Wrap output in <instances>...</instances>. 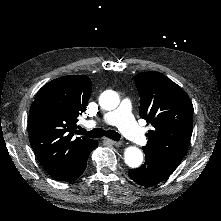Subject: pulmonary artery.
I'll use <instances>...</instances> for the list:
<instances>
[{"label": "pulmonary artery", "instance_id": "1", "mask_svg": "<svg viewBox=\"0 0 221 221\" xmlns=\"http://www.w3.org/2000/svg\"><path fill=\"white\" fill-rule=\"evenodd\" d=\"M134 107L130 101L124 100L118 104L117 110L113 109L107 113L106 119L110 125L120 128L133 144L139 145L145 141L144 128L138 125L132 116Z\"/></svg>", "mask_w": 221, "mask_h": 221}]
</instances>
